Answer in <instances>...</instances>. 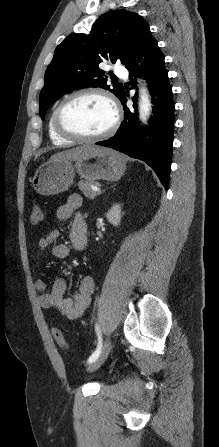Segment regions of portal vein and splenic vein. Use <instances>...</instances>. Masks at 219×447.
Instances as JSON below:
<instances>
[{
  "instance_id": "18ae733b",
  "label": "portal vein and splenic vein",
  "mask_w": 219,
  "mask_h": 447,
  "mask_svg": "<svg viewBox=\"0 0 219 447\" xmlns=\"http://www.w3.org/2000/svg\"><path fill=\"white\" fill-rule=\"evenodd\" d=\"M91 188L94 192H98V193L101 192L100 188H98L96 186H91Z\"/></svg>"
}]
</instances>
